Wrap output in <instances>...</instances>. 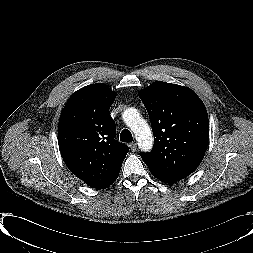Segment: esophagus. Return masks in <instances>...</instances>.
I'll list each match as a JSON object with an SVG mask.
<instances>
[{"label": "esophagus", "mask_w": 253, "mask_h": 253, "mask_svg": "<svg viewBox=\"0 0 253 253\" xmlns=\"http://www.w3.org/2000/svg\"><path fill=\"white\" fill-rule=\"evenodd\" d=\"M129 148H130V150L131 151H136V149H137V143L136 142H132V143H130L129 144Z\"/></svg>", "instance_id": "esophagus-1"}]
</instances>
